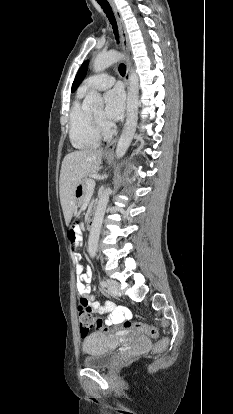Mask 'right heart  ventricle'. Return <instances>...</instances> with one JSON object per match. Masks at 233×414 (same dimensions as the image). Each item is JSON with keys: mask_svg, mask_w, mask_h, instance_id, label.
I'll use <instances>...</instances> for the list:
<instances>
[{"mask_svg": "<svg viewBox=\"0 0 233 414\" xmlns=\"http://www.w3.org/2000/svg\"><path fill=\"white\" fill-rule=\"evenodd\" d=\"M86 91L79 89L69 113V138L76 149L86 150L96 148L101 141V135L92 125L90 111L83 105Z\"/></svg>", "mask_w": 233, "mask_h": 414, "instance_id": "obj_1", "label": "right heart ventricle"}]
</instances>
